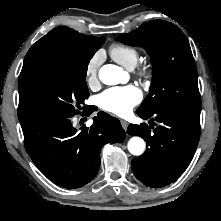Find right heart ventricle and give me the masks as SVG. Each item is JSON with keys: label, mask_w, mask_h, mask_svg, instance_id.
I'll use <instances>...</instances> for the list:
<instances>
[{"label": "right heart ventricle", "mask_w": 221, "mask_h": 221, "mask_svg": "<svg viewBox=\"0 0 221 221\" xmlns=\"http://www.w3.org/2000/svg\"><path fill=\"white\" fill-rule=\"evenodd\" d=\"M111 58L127 69L134 68L139 61V52L135 47L115 43L109 48Z\"/></svg>", "instance_id": "right-heart-ventricle-1"}]
</instances>
